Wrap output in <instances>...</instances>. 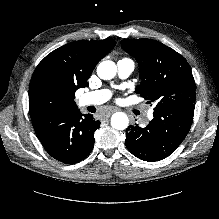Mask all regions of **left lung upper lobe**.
<instances>
[{
	"label": "left lung upper lobe",
	"instance_id": "1",
	"mask_svg": "<svg viewBox=\"0 0 219 219\" xmlns=\"http://www.w3.org/2000/svg\"><path fill=\"white\" fill-rule=\"evenodd\" d=\"M121 46L139 63L141 83L135 92L155 102L154 110L194 105L196 86L183 56L151 39H124Z\"/></svg>",
	"mask_w": 219,
	"mask_h": 219
}]
</instances>
